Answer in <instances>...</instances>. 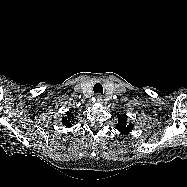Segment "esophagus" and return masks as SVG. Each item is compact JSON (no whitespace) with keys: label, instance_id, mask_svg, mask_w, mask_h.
Listing matches in <instances>:
<instances>
[{"label":"esophagus","instance_id":"esophagus-1","mask_svg":"<svg viewBox=\"0 0 187 187\" xmlns=\"http://www.w3.org/2000/svg\"><path fill=\"white\" fill-rule=\"evenodd\" d=\"M96 100H97L98 103H103V98L100 94L96 95Z\"/></svg>","mask_w":187,"mask_h":187}]
</instances>
